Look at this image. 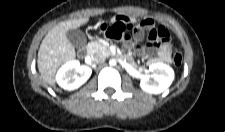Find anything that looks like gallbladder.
<instances>
[{"mask_svg":"<svg viewBox=\"0 0 225 132\" xmlns=\"http://www.w3.org/2000/svg\"><path fill=\"white\" fill-rule=\"evenodd\" d=\"M66 36L75 48H83L86 45V36L79 29L68 30Z\"/></svg>","mask_w":225,"mask_h":132,"instance_id":"1","label":"gallbladder"}]
</instances>
